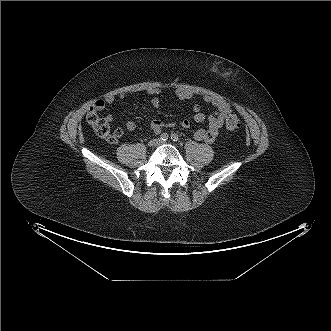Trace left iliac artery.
I'll return each instance as SVG.
<instances>
[{
  "label": "left iliac artery",
  "instance_id": "1",
  "mask_svg": "<svg viewBox=\"0 0 331 331\" xmlns=\"http://www.w3.org/2000/svg\"><path fill=\"white\" fill-rule=\"evenodd\" d=\"M171 140L174 141V142H177L179 140V136L174 133V134L171 135Z\"/></svg>",
  "mask_w": 331,
  "mask_h": 331
}]
</instances>
